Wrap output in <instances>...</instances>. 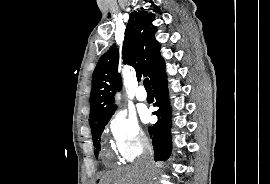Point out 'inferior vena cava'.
I'll return each mask as SVG.
<instances>
[{
	"label": "inferior vena cava",
	"instance_id": "inferior-vena-cava-1",
	"mask_svg": "<svg viewBox=\"0 0 270 184\" xmlns=\"http://www.w3.org/2000/svg\"><path fill=\"white\" fill-rule=\"evenodd\" d=\"M143 152L139 158L136 166L144 169L146 172H151L153 170V148L148 140L142 142Z\"/></svg>",
	"mask_w": 270,
	"mask_h": 184
}]
</instances>
